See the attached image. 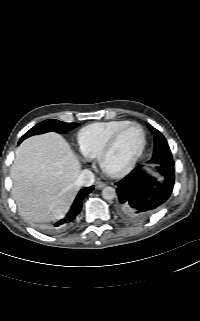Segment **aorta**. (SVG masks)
<instances>
[{
    "mask_svg": "<svg viewBox=\"0 0 200 321\" xmlns=\"http://www.w3.org/2000/svg\"><path fill=\"white\" fill-rule=\"evenodd\" d=\"M116 196V191L114 188L112 187H105L103 190H102V197L105 199V200H112L113 198H115Z\"/></svg>",
    "mask_w": 200,
    "mask_h": 321,
    "instance_id": "1",
    "label": "aorta"
}]
</instances>
